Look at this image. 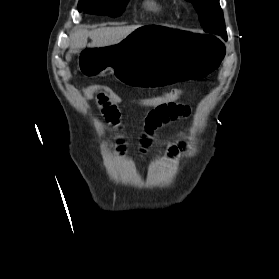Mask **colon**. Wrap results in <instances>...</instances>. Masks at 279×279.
<instances>
[{
    "instance_id": "colon-1",
    "label": "colon",
    "mask_w": 279,
    "mask_h": 279,
    "mask_svg": "<svg viewBox=\"0 0 279 279\" xmlns=\"http://www.w3.org/2000/svg\"><path fill=\"white\" fill-rule=\"evenodd\" d=\"M83 95L87 98H102L116 105L125 103L127 100L119 92L103 85H89L80 88ZM185 90L182 88H173L158 94L145 98H134L129 100L130 103L137 107H157L162 105H170L178 102L183 97Z\"/></svg>"
}]
</instances>
